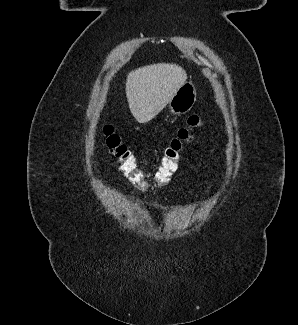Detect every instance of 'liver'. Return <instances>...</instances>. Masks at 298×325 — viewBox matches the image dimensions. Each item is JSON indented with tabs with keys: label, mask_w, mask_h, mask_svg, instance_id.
Returning a JSON list of instances; mask_svg holds the SVG:
<instances>
[{
	"label": "liver",
	"mask_w": 298,
	"mask_h": 325,
	"mask_svg": "<svg viewBox=\"0 0 298 325\" xmlns=\"http://www.w3.org/2000/svg\"><path fill=\"white\" fill-rule=\"evenodd\" d=\"M187 78V70L177 62L146 64L128 72L126 98L137 122H149L166 108Z\"/></svg>",
	"instance_id": "6515ba94"
}]
</instances>
